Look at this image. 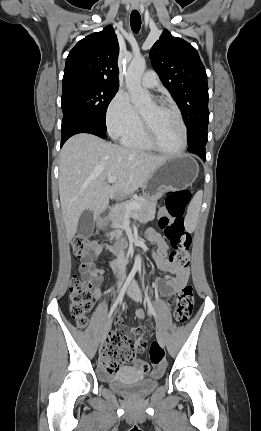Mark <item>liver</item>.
<instances>
[{
  "mask_svg": "<svg viewBox=\"0 0 261 431\" xmlns=\"http://www.w3.org/2000/svg\"><path fill=\"white\" fill-rule=\"evenodd\" d=\"M166 157L128 149L91 134L71 137L60 153L59 195L68 241L85 211L103 213L109 199L134 193ZM116 176L113 186L106 184Z\"/></svg>",
  "mask_w": 261,
  "mask_h": 431,
  "instance_id": "liver-1",
  "label": "liver"
}]
</instances>
